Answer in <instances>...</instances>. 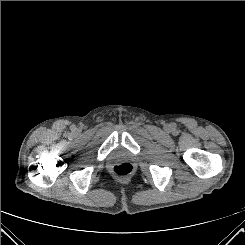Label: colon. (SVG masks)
I'll use <instances>...</instances> for the list:
<instances>
[{"label":"colon","instance_id":"obj_1","mask_svg":"<svg viewBox=\"0 0 245 245\" xmlns=\"http://www.w3.org/2000/svg\"><path fill=\"white\" fill-rule=\"evenodd\" d=\"M133 172V166L128 162L117 164L113 168V173L119 178H127Z\"/></svg>","mask_w":245,"mask_h":245}]
</instances>
